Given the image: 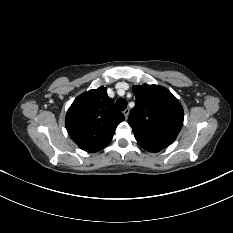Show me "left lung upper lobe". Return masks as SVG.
Instances as JSON below:
<instances>
[{"instance_id": "obj_1", "label": "left lung upper lobe", "mask_w": 233, "mask_h": 233, "mask_svg": "<svg viewBox=\"0 0 233 233\" xmlns=\"http://www.w3.org/2000/svg\"><path fill=\"white\" fill-rule=\"evenodd\" d=\"M136 105L128 123L137 142L170 145L183 125V108L177 98L166 88L143 84L133 87Z\"/></svg>"}]
</instances>
